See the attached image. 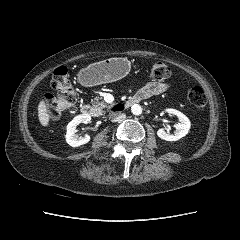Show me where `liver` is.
I'll use <instances>...</instances> for the list:
<instances>
[{"instance_id":"6515ba94","label":"liver","mask_w":240,"mask_h":240,"mask_svg":"<svg viewBox=\"0 0 240 240\" xmlns=\"http://www.w3.org/2000/svg\"><path fill=\"white\" fill-rule=\"evenodd\" d=\"M38 118L42 126L46 127L49 125L50 115L43 100H41L38 104Z\"/></svg>"}]
</instances>
